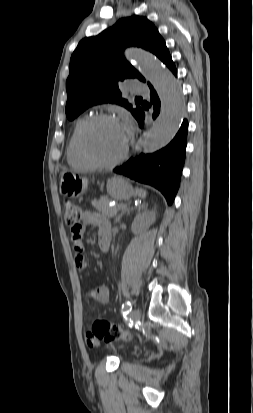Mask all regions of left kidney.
I'll use <instances>...</instances> for the list:
<instances>
[{
    "label": "left kidney",
    "mask_w": 253,
    "mask_h": 413,
    "mask_svg": "<svg viewBox=\"0 0 253 413\" xmlns=\"http://www.w3.org/2000/svg\"><path fill=\"white\" fill-rule=\"evenodd\" d=\"M156 220V212L154 210H145L142 213L136 215L132 222V231L139 233L148 229Z\"/></svg>",
    "instance_id": "5707ae66"
}]
</instances>
